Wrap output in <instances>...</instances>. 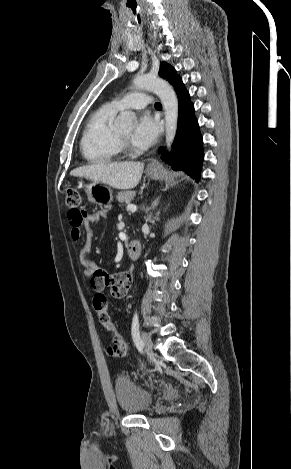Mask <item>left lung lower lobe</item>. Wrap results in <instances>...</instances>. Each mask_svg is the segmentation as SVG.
I'll return each instance as SVG.
<instances>
[{
    "instance_id": "0a47b994",
    "label": "left lung lower lobe",
    "mask_w": 291,
    "mask_h": 469,
    "mask_svg": "<svg viewBox=\"0 0 291 469\" xmlns=\"http://www.w3.org/2000/svg\"><path fill=\"white\" fill-rule=\"evenodd\" d=\"M172 86L179 102L178 126L172 151L167 158L163 153L162 159L166 160L172 169L183 170L198 182L204 153L202 136L194 115V105L180 77ZM159 151L161 152L162 148Z\"/></svg>"
}]
</instances>
